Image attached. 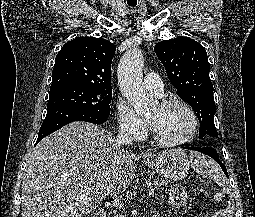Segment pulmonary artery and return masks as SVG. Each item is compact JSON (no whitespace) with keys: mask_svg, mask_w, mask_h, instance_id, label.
<instances>
[{"mask_svg":"<svg viewBox=\"0 0 255 217\" xmlns=\"http://www.w3.org/2000/svg\"><path fill=\"white\" fill-rule=\"evenodd\" d=\"M144 87L158 96H161L164 87L161 77L157 73H148L144 77Z\"/></svg>","mask_w":255,"mask_h":217,"instance_id":"pulmonary-artery-1","label":"pulmonary artery"}]
</instances>
